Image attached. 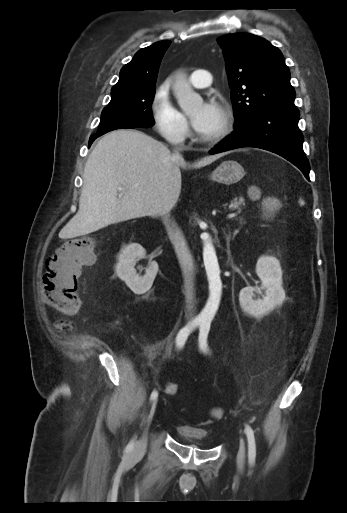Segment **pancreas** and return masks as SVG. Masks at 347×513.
<instances>
[{"mask_svg":"<svg viewBox=\"0 0 347 513\" xmlns=\"http://www.w3.org/2000/svg\"><path fill=\"white\" fill-rule=\"evenodd\" d=\"M229 209H230L231 211L236 210L238 213H240V212L242 211V209H241V202H240V201H238V198H237V197H236V198H234V199L231 201V204L229 205ZM238 218H239V221H240V222H243V220H244V219H243V217H242V216H240V217H238Z\"/></svg>","mask_w":347,"mask_h":513,"instance_id":"pancreas-1","label":"pancreas"}]
</instances>
